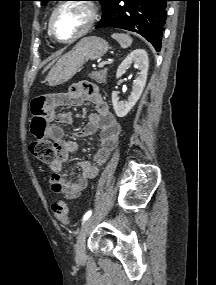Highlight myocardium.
Returning <instances> with one entry per match:
<instances>
[{
    "label": "myocardium",
    "mask_w": 216,
    "mask_h": 285,
    "mask_svg": "<svg viewBox=\"0 0 216 285\" xmlns=\"http://www.w3.org/2000/svg\"><path fill=\"white\" fill-rule=\"evenodd\" d=\"M70 4H77V5H82L84 7H86L89 11V20L87 22V24L74 36L68 38V39H60L58 38L53 30V21L55 18V15L57 14V12ZM98 18V9L97 6L89 1V0H65L63 2H61L60 4H58L54 10L52 11L49 21H48V32L49 35L51 36L52 39H54L55 41L59 42V43H63V44H67V43H72L80 38H82L83 36H85L95 25L96 21Z\"/></svg>",
    "instance_id": "obj_1"
}]
</instances>
